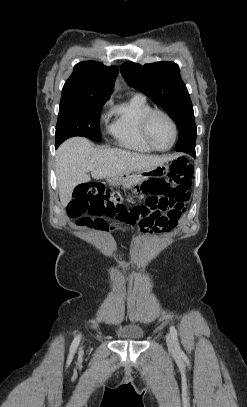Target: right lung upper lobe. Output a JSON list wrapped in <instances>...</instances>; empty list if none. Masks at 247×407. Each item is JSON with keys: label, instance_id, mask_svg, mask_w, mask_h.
<instances>
[{"label": "right lung upper lobe", "instance_id": "cb5924a9", "mask_svg": "<svg viewBox=\"0 0 247 407\" xmlns=\"http://www.w3.org/2000/svg\"><path fill=\"white\" fill-rule=\"evenodd\" d=\"M117 75V66L95 61L78 63L64 84L61 102L108 100Z\"/></svg>", "mask_w": 247, "mask_h": 407}]
</instances>
